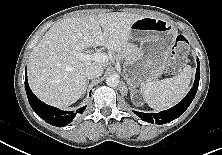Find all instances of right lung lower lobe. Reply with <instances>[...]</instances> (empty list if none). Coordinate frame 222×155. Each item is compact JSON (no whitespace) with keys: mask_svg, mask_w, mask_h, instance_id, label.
Returning <instances> with one entry per match:
<instances>
[{"mask_svg":"<svg viewBox=\"0 0 222 155\" xmlns=\"http://www.w3.org/2000/svg\"><path fill=\"white\" fill-rule=\"evenodd\" d=\"M25 90L27 93L29 103L34 112H36L38 116L42 118L45 122L53 126L57 127L66 126L67 124L73 121L77 113L82 114L86 108V106H83L82 108L76 110V112L62 111L43 103L31 91L27 81V73L25 74Z\"/></svg>","mask_w":222,"mask_h":155,"instance_id":"98d812e1","label":"right lung lower lobe"}]
</instances>
